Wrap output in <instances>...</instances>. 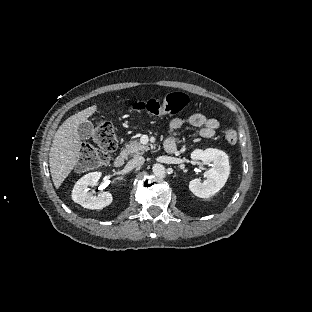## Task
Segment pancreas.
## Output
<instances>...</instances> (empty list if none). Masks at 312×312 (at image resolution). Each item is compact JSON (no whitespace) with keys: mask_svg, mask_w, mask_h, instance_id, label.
Wrapping results in <instances>:
<instances>
[{"mask_svg":"<svg viewBox=\"0 0 312 312\" xmlns=\"http://www.w3.org/2000/svg\"><path fill=\"white\" fill-rule=\"evenodd\" d=\"M148 150V146L141 144L137 140H133L126 144L125 149L121 151L120 155L124 158H127L128 156L135 157L144 154V152Z\"/></svg>","mask_w":312,"mask_h":312,"instance_id":"1","label":"pancreas"}]
</instances>
